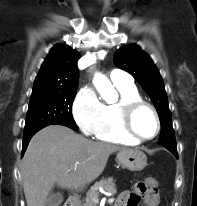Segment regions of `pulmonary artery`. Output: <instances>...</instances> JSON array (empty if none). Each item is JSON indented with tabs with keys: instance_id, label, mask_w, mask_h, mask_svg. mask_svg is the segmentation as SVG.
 Here are the masks:
<instances>
[{
	"instance_id": "e3ab8cb5",
	"label": "pulmonary artery",
	"mask_w": 197,
	"mask_h": 206,
	"mask_svg": "<svg viewBox=\"0 0 197 206\" xmlns=\"http://www.w3.org/2000/svg\"><path fill=\"white\" fill-rule=\"evenodd\" d=\"M110 79L114 84H133V79L131 76L120 69H113L110 73Z\"/></svg>"
}]
</instances>
